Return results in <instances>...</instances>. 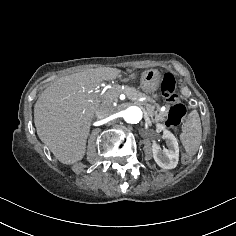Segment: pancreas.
<instances>
[{
	"label": "pancreas",
	"mask_w": 236,
	"mask_h": 236,
	"mask_svg": "<svg viewBox=\"0 0 236 236\" xmlns=\"http://www.w3.org/2000/svg\"><path fill=\"white\" fill-rule=\"evenodd\" d=\"M115 93L116 94H124L129 100H136L139 98H146V95L143 93H140L138 90L134 89V88H129V87H125L124 90H122L120 88V86H115L114 87ZM154 106H150L148 104V108H147V113L149 114V116L154 117V118H160L162 120H165V117L167 116V112H161L158 113L157 111L154 110ZM156 108H158V106H156Z\"/></svg>",
	"instance_id": "1"
}]
</instances>
